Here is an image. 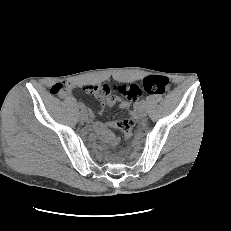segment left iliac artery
Segmentation results:
<instances>
[{
  "label": "left iliac artery",
  "instance_id": "left-iliac-artery-1",
  "mask_svg": "<svg viewBox=\"0 0 231 231\" xmlns=\"http://www.w3.org/2000/svg\"><path fill=\"white\" fill-rule=\"evenodd\" d=\"M139 107H140V108H145V107H146V101H145V100H141V101L139 102Z\"/></svg>",
  "mask_w": 231,
  "mask_h": 231
}]
</instances>
